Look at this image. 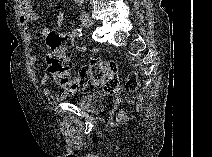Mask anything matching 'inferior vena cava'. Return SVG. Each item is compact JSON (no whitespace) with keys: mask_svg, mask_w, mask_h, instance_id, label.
Segmentation results:
<instances>
[{"mask_svg":"<svg viewBox=\"0 0 212 157\" xmlns=\"http://www.w3.org/2000/svg\"><path fill=\"white\" fill-rule=\"evenodd\" d=\"M79 4H82L84 2V0H78L77 1Z\"/></svg>","mask_w":212,"mask_h":157,"instance_id":"1","label":"inferior vena cava"}]
</instances>
